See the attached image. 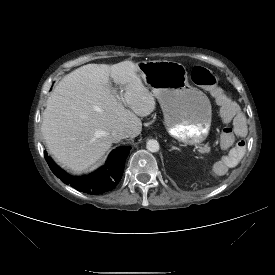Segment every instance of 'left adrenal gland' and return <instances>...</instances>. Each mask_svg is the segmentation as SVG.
<instances>
[{"label":"left adrenal gland","mask_w":275,"mask_h":275,"mask_svg":"<svg viewBox=\"0 0 275 275\" xmlns=\"http://www.w3.org/2000/svg\"><path fill=\"white\" fill-rule=\"evenodd\" d=\"M171 150H180V149L175 146H172Z\"/></svg>","instance_id":"1"}]
</instances>
